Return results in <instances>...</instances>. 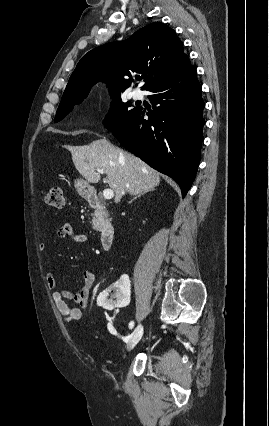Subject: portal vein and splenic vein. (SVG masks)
Instances as JSON below:
<instances>
[{"label":"portal vein and splenic vein","mask_w":269,"mask_h":426,"mask_svg":"<svg viewBox=\"0 0 269 426\" xmlns=\"http://www.w3.org/2000/svg\"><path fill=\"white\" fill-rule=\"evenodd\" d=\"M97 172L101 173V174L104 173V171L101 170V169H97ZM103 196H104L105 199H108V200L112 199L114 197V191L112 189H105L103 191Z\"/></svg>","instance_id":"18ae733b"}]
</instances>
